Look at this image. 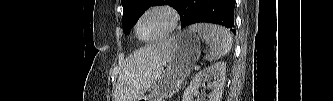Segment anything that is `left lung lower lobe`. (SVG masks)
<instances>
[{
	"label": "left lung lower lobe",
	"instance_id": "left-lung-lower-lobe-1",
	"mask_svg": "<svg viewBox=\"0 0 333 101\" xmlns=\"http://www.w3.org/2000/svg\"><path fill=\"white\" fill-rule=\"evenodd\" d=\"M235 0H180L181 28L198 22L223 25L233 33Z\"/></svg>",
	"mask_w": 333,
	"mask_h": 101
}]
</instances>
